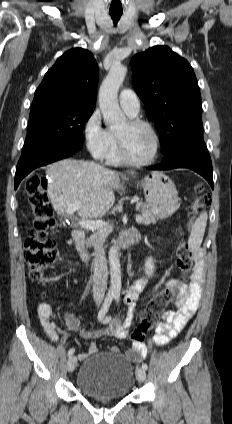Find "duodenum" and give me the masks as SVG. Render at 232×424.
I'll return each instance as SVG.
<instances>
[{
    "label": "duodenum",
    "instance_id": "1",
    "mask_svg": "<svg viewBox=\"0 0 232 424\" xmlns=\"http://www.w3.org/2000/svg\"><path fill=\"white\" fill-rule=\"evenodd\" d=\"M72 237L82 261L87 265L89 263V252L87 250L86 243H85L84 231L74 230ZM138 238L139 236L136 232L128 233L119 239L117 243V247L119 249L129 248L138 240Z\"/></svg>",
    "mask_w": 232,
    "mask_h": 424
}]
</instances>
